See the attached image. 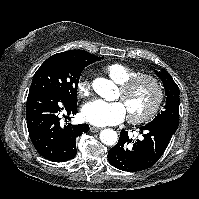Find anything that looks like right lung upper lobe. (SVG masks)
Returning a JSON list of instances; mask_svg holds the SVG:
<instances>
[{
	"mask_svg": "<svg viewBox=\"0 0 199 199\" xmlns=\"http://www.w3.org/2000/svg\"><path fill=\"white\" fill-rule=\"evenodd\" d=\"M58 54L76 60H87L94 56L83 50H70Z\"/></svg>",
	"mask_w": 199,
	"mask_h": 199,
	"instance_id": "obj_1",
	"label": "right lung upper lobe"
}]
</instances>
